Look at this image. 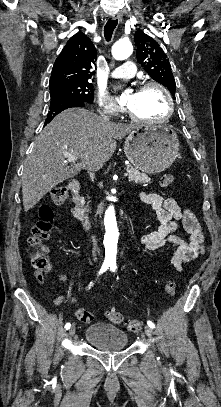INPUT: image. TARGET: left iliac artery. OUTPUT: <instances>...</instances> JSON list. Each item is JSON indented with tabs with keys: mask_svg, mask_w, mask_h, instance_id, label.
Instances as JSON below:
<instances>
[{
	"mask_svg": "<svg viewBox=\"0 0 221 407\" xmlns=\"http://www.w3.org/2000/svg\"><path fill=\"white\" fill-rule=\"evenodd\" d=\"M116 268H117V266H116L115 263H113V264L110 265V269H111L112 271H115ZM147 324H148L149 327L155 328V324H154L152 321H148Z\"/></svg>",
	"mask_w": 221,
	"mask_h": 407,
	"instance_id": "left-iliac-artery-1",
	"label": "left iliac artery"
}]
</instances>
